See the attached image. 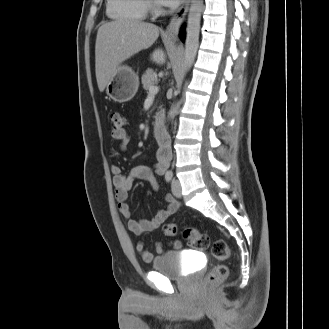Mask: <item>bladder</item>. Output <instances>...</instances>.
Segmentation results:
<instances>
[{"instance_id":"obj_1","label":"bladder","mask_w":329,"mask_h":329,"mask_svg":"<svg viewBox=\"0 0 329 329\" xmlns=\"http://www.w3.org/2000/svg\"><path fill=\"white\" fill-rule=\"evenodd\" d=\"M152 270L170 279H182L187 274L183 271V260L180 251H167L152 260Z\"/></svg>"}]
</instances>
